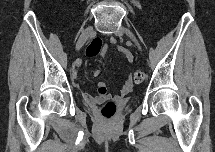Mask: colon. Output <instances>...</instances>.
I'll return each instance as SVG.
<instances>
[{"label":"colon","mask_w":215,"mask_h":152,"mask_svg":"<svg viewBox=\"0 0 215 152\" xmlns=\"http://www.w3.org/2000/svg\"><path fill=\"white\" fill-rule=\"evenodd\" d=\"M102 48V42L100 39H94L87 47L86 54L88 57H95L99 54ZM134 82L140 84L145 79V73L141 70H137L134 73ZM116 104L112 101H108L101 107V115L105 119H111L116 113Z\"/></svg>","instance_id":"colon-1"}]
</instances>
